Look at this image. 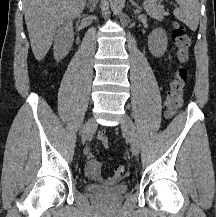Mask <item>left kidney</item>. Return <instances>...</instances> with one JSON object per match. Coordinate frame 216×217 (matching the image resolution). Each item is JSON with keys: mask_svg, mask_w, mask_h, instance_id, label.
<instances>
[{"mask_svg": "<svg viewBox=\"0 0 216 217\" xmlns=\"http://www.w3.org/2000/svg\"><path fill=\"white\" fill-rule=\"evenodd\" d=\"M166 32L160 28L154 29L148 37V47L154 57H161L167 50Z\"/></svg>", "mask_w": 216, "mask_h": 217, "instance_id": "obj_1", "label": "left kidney"}]
</instances>
